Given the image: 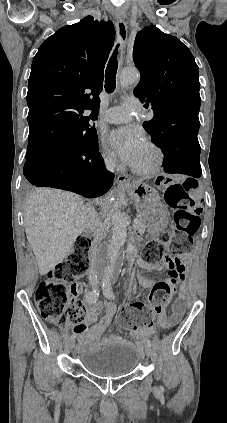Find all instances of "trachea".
Listing matches in <instances>:
<instances>
[{
    "instance_id": "obj_1",
    "label": "trachea",
    "mask_w": 227,
    "mask_h": 423,
    "mask_svg": "<svg viewBox=\"0 0 227 423\" xmlns=\"http://www.w3.org/2000/svg\"><path fill=\"white\" fill-rule=\"evenodd\" d=\"M118 46H116L113 54L110 57L109 63L105 72V90L107 93H112L116 87V72L118 69Z\"/></svg>"
}]
</instances>
